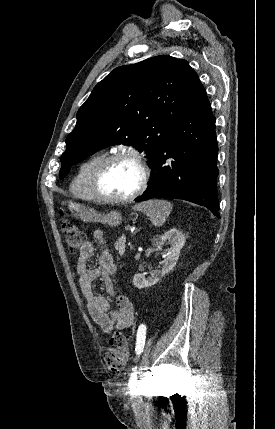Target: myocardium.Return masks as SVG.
I'll list each match as a JSON object with an SVG mask.
<instances>
[{
  "instance_id": "obj_1",
  "label": "myocardium",
  "mask_w": 275,
  "mask_h": 429,
  "mask_svg": "<svg viewBox=\"0 0 275 429\" xmlns=\"http://www.w3.org/2000/svg\"><path fill=\"white\" fill-rule=\"evenodd\" d=\"M119 160H131L135 162L141 172V178L138 187L133 193L126 197H111L102 190V179L108 168ZM149 180V167L145 159L133 151H122L106 156L95 169L91 178V190L96 200L110 204H124L135 200L146 189Z\"/></svg>"
}]
</instances>
